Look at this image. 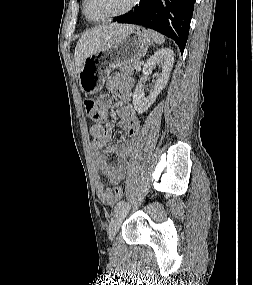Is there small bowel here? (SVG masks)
Returning <instances> with one entry per match:
<instances>
[{"label":"small bowel","mask_w":253,"mask_h":285,"mask_svg":"<svg viewBox=\"0 0 253 285\" xmlns=\"http://www.w3.org/2000/svg\"><path fill=\"white\" fill-rule=\"evenodd\" d=\"M107 87L111 93L116 94L121 100L116 113L120 119L119 126L130 138L129 141L120 144H110L113 139L114 123L109 121V109L112 106V97L102 95L95 107L94 115L90 117L94 123L90 127V134L93 137V148L95 155V165L98 173L108 177L114 188L106 187L105 183L98 175L95 188L98 198L105 205L112 206L122 196L115 191L124 182L128 170V159L136 149L133 141L141 130V125L136 112L130 103L132 95L133 80L121 74H113L109 77ZM113 154L118 161L110 164L108 155Z\"/></svg>","instance_id":"c3829d8e"}]
</instances>
